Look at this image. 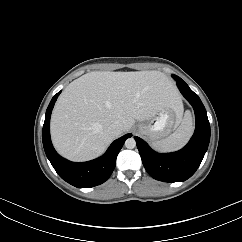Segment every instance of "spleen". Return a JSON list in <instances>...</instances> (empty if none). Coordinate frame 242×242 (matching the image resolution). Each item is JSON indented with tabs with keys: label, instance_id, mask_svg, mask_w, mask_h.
Wrapping results in <instances>:
<instances>
[{
	"label": "spleen",
	"instance_id": "spleen-1",
	"mask_svg": "<svg viewBox=\"0 0 242 242\" xmlns=\"http://www.w3.org/2000/svg\"><path fill=\"white\" fill-rule=\"evenodd\" d=\"M193 132V122L190 115H185L179 127L170 136L153 143L159 151H174L183 147Z\"/></svg>",
	"mask_w": 242,
	"mask_h": 242
}]
</instances>
